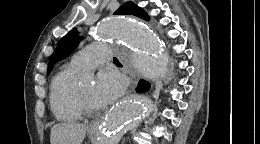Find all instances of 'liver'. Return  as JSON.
Wrapping results in <instances>:
<instances>
[{
	"mask_svg": "<svg viewBox=\"0 0 260 144\" xmlns=\"http://www.w3.org/2000/svg\"><path fill=\"white\" fill-rule=\"evenodd\" d=\"M87 126L75 122L58 123L51 128V144H82Z\"/></svg>",
	"mask_w": 260,
	"mask_h": 144,
	"instance_id": "liver-1",
	"label": "liver"
}]
</instances>
